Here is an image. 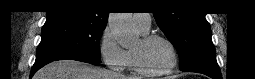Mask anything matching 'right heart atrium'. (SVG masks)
Instances as JSON below:
<instances>
[{
    "label": "right heart atrium",
    "instance_id": "right-heart-atrium-1",
    "mask_svg": "<svg viewBox=\"0 0 255 79\" xmlns=\"http://www.w3.org/2000/svg\"><path fill=\"white\" fill-rule=\"evenodd\" d=\"M99 50L105 64L113 70L121 72L127 66V51L116 42L108 28L101 35Z\"/></svg>",
    "mask_w": 255,
    "mask_h": 79
}]
</instances>
